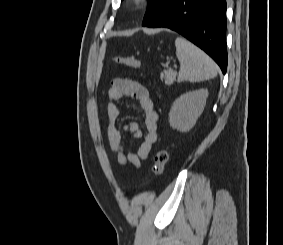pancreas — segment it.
Masks as SVG:
<instances>
[{"label": "pancreas", "mask_w": 283, "mask_h": 245, "mask_svg": "<svg viewBox=\"0 0 283 245\" xmlns=\"http://www.w3.org/2000/svg\"><path fill=\"white\" fill-rule=\"evenodd\" d=\"M176 71L172 69H167L161 72L160 78L162 81H164L167 85L173 84V82L176 80Z\"/></svg>", "instance_id": "obj_1"}]
</instances>
